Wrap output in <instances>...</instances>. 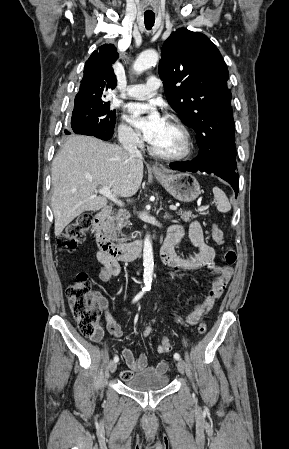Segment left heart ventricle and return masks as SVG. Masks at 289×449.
<instances>
[{"label": "left heart ventricle", "instance_id": "left-heart-ventricle-1", "mask_svg": "<svg viewBox=\"0 0 289 449\" xmlns=\"http://www.w3.org/2000/svg\"><path fill=\"white\" fill-rule=\"evenodd\" d=\"M150 144L158 152L165 154L177 153L183 148V137L175 127L165 121L163 127Z\"/></svg>", "mask_w": 289, "mask_h": 449}]
</instances>
